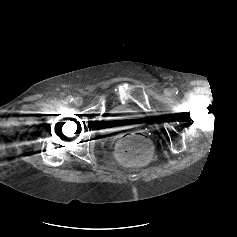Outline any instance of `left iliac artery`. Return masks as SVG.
<instances>
[{"instance_id": "obj_1", "label": "left iliac artery", "mask_w": 237, "mask_h": 237, "mask_svg": "<svg viewBox=\"0 0 237 237\" xmlns=\"http://www.w3.org/2000/svg\"><path fill=\"white\" fill-rule=\"evenodd\" d=\"M174 92L178 93V91H176V89L174 90Z\"/></svg>"}]
</instances>
